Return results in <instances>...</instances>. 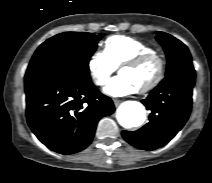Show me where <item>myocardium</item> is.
<instances>
[{"label":"myocardium","instance_id":"f54148a6","mask_svg":"<svg viewBox=\"0 0 212 183\" xmlns=\"http://www.w3.org/2000/svg\"><path fill=\"white\" fill-rule=\"evenodd\" d=\"M153 60L156 61L158 64V72L155 78L148 85L138 89V92L141 94L152 91L154 88L158 86V84L163 79L165 74V69H166V63L163 56L157 52L143 53L139 56L132 58L131 60L125 62L124 64L120 66L119 71H121L122 69H127V68H136Z\"/></svg>","mask_w":212,"mask_h":183}]
</instances>
